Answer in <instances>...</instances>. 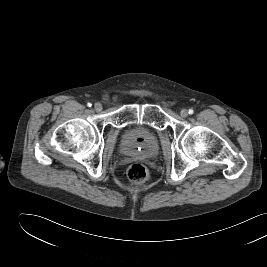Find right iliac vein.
<instances>
[{"label": "right iliac vein", "instance_id": "63e3f726", "mask_svg": "<svg viewBox=\"0 0 267 267\" xmlns=\"http://www.w3.org/2000/svg\"><path fill=\"white\" fill-rule=\"evenodd\" d=\"M102 104L101 103H99V102H97V103H95V105H94V109L97 111V112H100L101 110H102Z\"/></svg>", "mask_w": 267, "mask_h": 267}]
</instances>
